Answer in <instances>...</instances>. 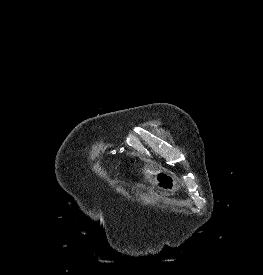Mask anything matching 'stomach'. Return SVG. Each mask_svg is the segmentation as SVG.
I'll return each instance as SVG.
<instances>
[{
	"label": "stomach",
	"instance_id": "stomach-1",
	"mask_svg": "<svg viewBox=\"0 0 263 275\" xmlns=\"http://www.w3.org/2000/svg\"><path fill=\"white\" fill-rule=\"evenodd\" d=\"M145 176L164 192H174L177 189V181L175 177L166 172H154L145 168Z\"/></svg>",
	"mask_w": 263,
	"mask_h": 275
}]
</instances>
